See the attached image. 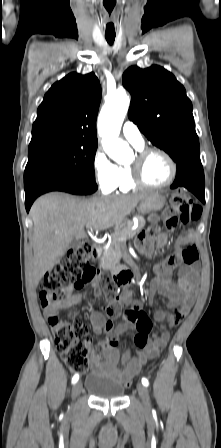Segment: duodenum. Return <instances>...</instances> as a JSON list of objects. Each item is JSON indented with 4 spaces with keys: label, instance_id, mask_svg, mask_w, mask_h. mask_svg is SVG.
Here are the masks:
<instances>
[{
    "label": "duodenum",
    "instance_id": "obj_1",
    "mask_svg": "<svg viewBox=\"0 0 221 448\" xmlns=\"http://www.w3.org/2000/svg\"><path fill=\"white\" fill-rule=\"evenodd\" d=\"M103 254L102 245L96 244L90 247V257L93 259H99ZM113 279L118 285H129L132 280V274L128 270H119L112 275Z\"/></svg>",
    "mask_w": 221,
    "mask_h": 448
}]
</instances>
